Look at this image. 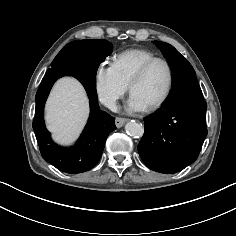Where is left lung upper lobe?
<instances>
[{
  "instance_id": "5c2ea615",
  "label": "left lung upper lobe",
  "mask_w": 236,
  "mask_h": 236,
  "mask_svg": "<svg viewBox=\"0 0 236 236\" xmlns=\"http://www.w3.org/2000/svg\"><path fill=\"white\" fill-rule=\"evenodd\" d=\"M167 59L173 73V85L179 80L195 75L191 64L170 44L154 41Z\"/></svg>"
}]
</instances>
